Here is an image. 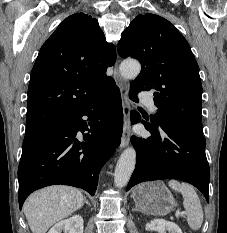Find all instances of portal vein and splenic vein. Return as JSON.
Segmentation results:
<instances>
[{"mask_svg": "<svg viewBox=\"0 0 227 233\" xmlns=\"http://www.w3.org/2000/svg\"><path fill=\"white\" fill-rule=\"evenodd\" d=\"M184 214H185L184 212H179V211H177L176 214H175V216H176V218L178 219V218L184 216Z\"/></svg>", "mask_w": 227, "mask_h": 233, "instance_id": "1", "label": "portal vein and splenic vein"}]
</instances>
